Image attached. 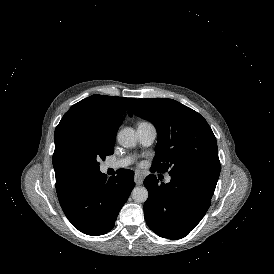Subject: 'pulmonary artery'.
Masks as SVG:
<instances>
[{"label":"pulmonary artery","instance_id":"1","mask_svg":"<svg viewBox=\"0 0 274 274\" xmlns=\"http://www.w3.org/2000/svg\"><path fill=\"white\" fill-rule=\"evenodd\" d=\"M138 141L144 147L150 146L156 137V129L155 127L149 122H142L139 123L136 127ZM131 163V158H122L118 160H110L105 163L106 169H120L128 166ZM165 182H171V176L167 175L165 177Z\"/></svg>","mask_w":274,"mask_h":274}]
</instances>
